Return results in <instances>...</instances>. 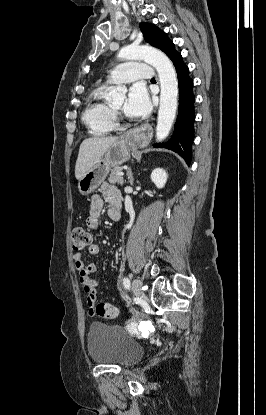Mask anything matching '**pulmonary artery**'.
<instances>
[{"instance_id":"e3ab8cb5","label":"pulmonary artery","mask_w":266,"mask_h":415,"mask_svg":"<svg viewBox=\"0 0 266 415\" xmlns=\"http://www.w3.org/2000/svg\"><path fill=\"white\" fill-rule=\"evenodd\" d=\"M153 77L154 71L150 65L141 62H126L110 73L107 83H127L137 79L150 80Z\"/></svg>"}]
</instances>
